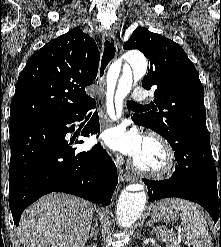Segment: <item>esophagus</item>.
I'll list each match as a JSON object with an SVG mask.
<instances>
[{"mask_svg": "<svg viewBox=\"0 0 221 247\" xmlns=\"http://www.w3.org/2000/svg\"><path fill=\"white\" fill-rule=\"evenodd\" d=\"M117 53L118 47L113 32L110 30L105 31L102 37V54L98 73V84L102 96L104 95L106 71L109 68L110 64L115 60ZM116 100L119 107H122V98H116ZM104 119L107 120L106 115H104ZM119 174L123 182L133 180V176L128 172H124L122 169L119 170Z\"/></svg>", "mask_w": 221, "mask_h": 247, "instance_id": "obj_1", "label": "esophagus"}]
</instances>
